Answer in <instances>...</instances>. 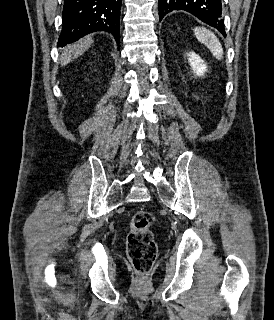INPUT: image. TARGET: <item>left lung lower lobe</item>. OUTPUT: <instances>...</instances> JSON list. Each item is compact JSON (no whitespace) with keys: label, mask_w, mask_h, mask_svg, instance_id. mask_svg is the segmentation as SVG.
I'll list each match as a JSON object with an SVG mask.
<instances>
[{"label":"left lung lower lobe","mask_w":274,"mask_h":320,"mask_svg":"<svg viewBox=\"0 0 274 320\" xmlns=\"http://www.w3.org/2000/svg\"><path fill=\"white\" fill-rule=\"evenodd\" d=\"M158 9L160 21L173 10H184L213 26L226 36L224 21L221 19V0H159Z\"/></svg>","instance_id":"left-lung-lower-lobe-1"}]
</instances>
